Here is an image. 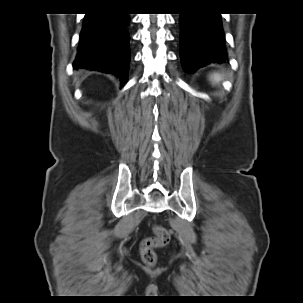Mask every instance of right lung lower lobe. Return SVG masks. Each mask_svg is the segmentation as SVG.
<instances>
[{
    "label": "right lung lower lobe",
    "mask_w": 303,
    "mask_h": 303,
    "mask_svg": "<svg viewBox=\"0 0 303 303\" xmlns=\"http://www.w3.org/2000/svg\"><path fill=\"white\" fill-rule=\"evenodd\" d=\"M129 22L125 13L86 14L73 67L111 73L126 83L130 62Z\"/></svg>",
    "instance_id": "right-lung-lower-lobe-1"
}]
</instances>
